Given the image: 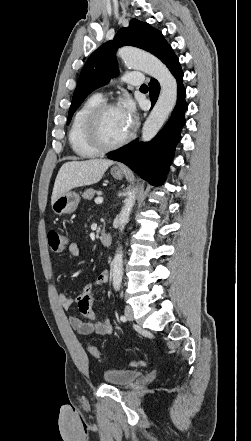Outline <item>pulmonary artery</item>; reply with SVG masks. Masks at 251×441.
Returning a JSON list of instances; mask_svg holds the SVG:
<instances>
[{"label":"pulmonary artery","instance_id":"obj_1","mask_svg":"<svg viewBox=\"0 0 251 441\" xmlns=\"http://www.w3.org/2000/svg\"><path fill=\"white\" fill-rule=\"evenodd\" d=\"M123 80L126 83H129V84L135 85V86L143 84V81H144L142 74L139 72H129L124 75ZM98 95L101 96V94H98Z\"/></svg>","mask_w":251,"mask_h":441}]
</instances>
